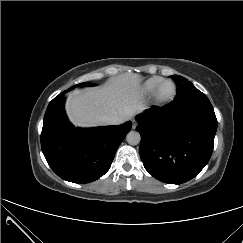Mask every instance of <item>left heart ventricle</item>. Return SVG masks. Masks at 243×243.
I'll list each match as a JSON object with an SVG mask.
<instances>
[{"label": "left heart ventricle", "mask_w": 243, "mask_h": 243, "mask_svg": "<svg viewBox=\"0 0 243 243\" xmlns=\"http://www.w3.org/2000/svg\"><path fill=\"white\" fill-rule=\"evenodd\" d=\"M172 91H173V88H172V85L171 84H167L163 87L162 89V95L163 96H169L172 94Z\"/></svg>", "instance_id": "obj_1"}]
</instances>
